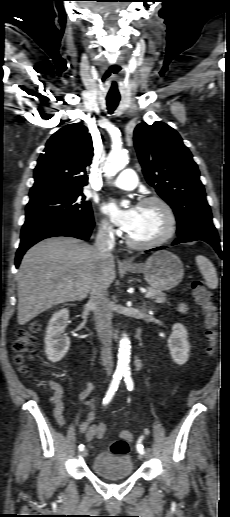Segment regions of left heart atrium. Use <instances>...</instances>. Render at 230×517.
Returning <instances> with one entry per match:
<instances>
[{
	"mask_svg": "<svg viewBox=\"0 0 230 517\" xmlns=\"http://www.w3.org/2000/svg\"><path fill=\"white\" fill-rule=\"evenodd\" d=\"M103 209L124 231L130 232L133 229L138 217V207L121 209L115 202H110Z\"/></svg>",
	"mask_w": 230,
	"mask_h": 517,
	"instance_id": "39dd6f15",
	"label": "left heart atrium"
}]
</instances>
